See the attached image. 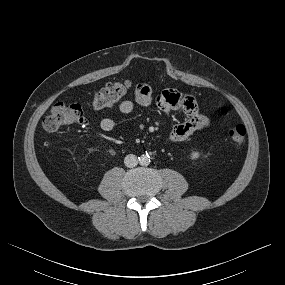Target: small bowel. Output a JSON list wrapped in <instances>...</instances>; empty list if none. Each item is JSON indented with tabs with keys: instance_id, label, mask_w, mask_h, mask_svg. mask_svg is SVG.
<instances>
[{
	"instance_id": "c3829d8e",
	"label": "small bowel",
	"mask_w": 285,
	"mask_h": 285,
	"mask_svg": "<svg viewBox=\"0 0 285 285\" xmlns=\"http://www.w3.org/2000/svg\"><path fill=\"white\" fill-rule=\"evenodd\" d=\"M153 100L154 97L150 86L141 83L135 88V102L124 99L119 103L118 108L121 113L128 114L133 111L135 103L147 107ZM155 102L166 114H170L175 110H182L187 115L184 122L172 126L168 136L170 142L184 141L196 131L210 125V119L200 113L198 104L191 95L176 90H164L155 98ZM115 125V121L111 118H103L100 122V127L105 132L113 131Z\"/></svg>"
}]
</instances>
